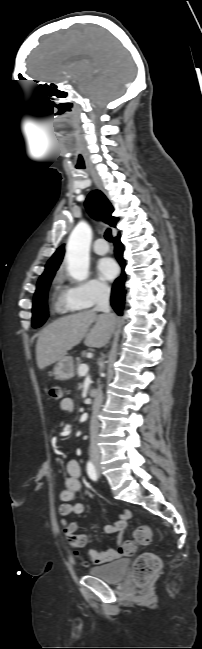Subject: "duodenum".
<instances>
[{
  "label": "duodenum",
  "instance_id": "duodenum-1",
  "mask_svg": "<svg viewBox=\"0 0 202 649\" xmlns=\"http://www.w3.org/2000/svg\"><path fill=\"white\" fill-rule=\"evenodd\" d=\"M89 395H90L93 399H97L98 396H99V392H98L97 390H94V389H93V390H90Z\"/></svg>",
  "mask_w": 202,
  "mask_h": 649
}]
</instances>
